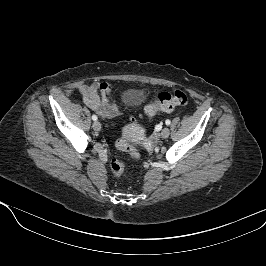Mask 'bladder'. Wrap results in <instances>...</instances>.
<instances>
[{
    "label": "bladder",
    "instance_id": "31cf9c89",
    "mask_svg": "<svg viewBox=\"0 0 266 266\" xmlns=\"http://www.w3.org/2000/svg\"><path fill=\"white\" fill-rule=\"evenodd\" d=\"M145 96L140 91H129L126 93V103L130 107H136L142 104Z\"/></svg>",
    "mask_w": 266,
    "mask_h": 266
}]
</instances>
